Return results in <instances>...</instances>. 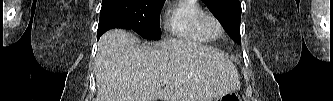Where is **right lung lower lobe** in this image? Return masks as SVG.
I'll list each match as a JSON object with an SVG mask.
<instances>
[{
  "mask_svg": "<svg viewBox=\"0 0 333 101\" xmlns=\"http://www.w3.org/2000/svg\"><path fill=\"white\" fill-rule=\"evenodd\" d=\"M127 23L125 19L112 8H101L99 26L97 32V39L109 29L124 28L126 29Z\"/></svg>",
  "mask_w": 333,
  "mask_h": 101,
  "instance_id": "1",
  "label": "right lung lower lobe"
}]
</instances>
